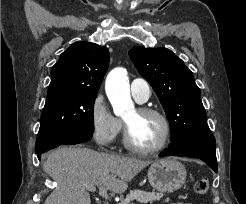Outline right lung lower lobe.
Returning a JSON list of instances; mask_svg holds the SVG:
<instances>
[{
    "mask_svg": "<svg viewBox=\"0 0 246 204\" xmlns=\"http://www.w3.org/2000/svg\"><path fill=\"white\" fill-rule=\"evenodd\" d=\"M92 138V133L89 132H79L69 140L65 141L62 145H72L82 142H86ZM42 153H38V159L40 160Z\"/></svg>",
    "mask_w": 246,
    "mask_h": 204,
    "instance_id": "1",
    "label": "right lung lower lobe"
}]
</instances>
